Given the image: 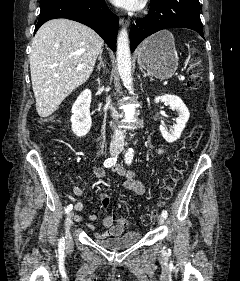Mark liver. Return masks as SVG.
<instances>
[{
    "mask_svg": "<svg viewBox=\"0 0 240 281\" xmlns=\"http://www.w3.org/2000/svg\"><path fill=\"white\" fill-rule=\"evenodd\" d=\"M104 41L89 27L68 19H53L37 31L30 55L36 110L40 117L54 113L62 101L85 83ZM81 66L80 70L77 67Z\"/></svg>",
    "mask_w": 240,
    "mask_h": 281,
    "instance_id": "1",
    "label": "liver"
}]
</instances>
